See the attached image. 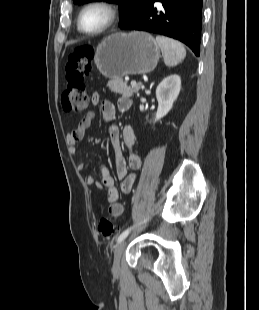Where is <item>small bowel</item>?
I'll return each mask as SVG.
<instances>
[{"label":"small bowel","mask_w":259,"mask_h":310,"mask_svg":"<svg viewBox=\"0 0 259 310\" xmlns=\"http://www.w3.org/2000/svg\"><path fill=\"white\" fill-rule=\"evenodd\" d=\"M91 103L94 106L98 104L101 105L102 115L106 121L110 122L114 119L116 108L112 102L107 100L100 101L99 94L93 93ZM117 106L120 111H126L130 108L131 101L126 97H122L118 100ZM94 117L95 113L93 111L88 112L79 122L78 126L68 133L67 144L69 152L72 155L77 153V144L84 139ZM108 132L110 143L115 153L117 176L121 180L120 190L115 185L110 170L105 165L100 167V181H97L92 175L85 176L84 180L87 185H95L97 188H106L107 201L110 205L109 212L113 217H120L125 210V203L119 201L120 191L124 194L130 193L137 180L135 173H128V168L133 171L139 170L141 167V158L133 149L135 145V134L129 126H124L120 130L117 125L112 124L110 125ZM122 139L129 149L127 159L123 156ZM76 167L78 170H82L84 168V163L78 162Z\"/></svg>","instance_id":"small-bowel-1"}]
</instances>
